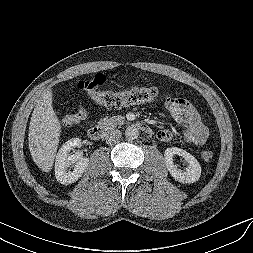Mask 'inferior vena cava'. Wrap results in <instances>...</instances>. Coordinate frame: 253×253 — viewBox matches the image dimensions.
I'll list each match as a JSON object with an SVG mask.
<instances>
[{
	"mask_svg": "<svg viewBox=\"0 0 253 253\" xmlns=\"http://www.w3.org/2000/svg\"><path fill=\"white\" fill-rule=\"evenodd\" d=\"M121 135L122 133L120 130L111 128L104 133V139L106 142L112 143L119 140V138H121Z\"/></svg>",
	"mask_w": 253,
	"mask_h": 253,
	"instance_id": "602c4592",
	"label": "inferior vena cava"
}]
</instances>
